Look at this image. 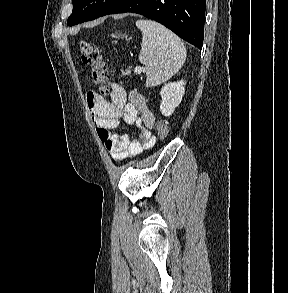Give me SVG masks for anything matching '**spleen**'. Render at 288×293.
<instances>
[{
  "instance_id": "spleen-1",
  "label": "spleen",
  "mask_w": 288,
  "mask_h": 293,
  "mask_svg": "<svg viewBox=\"0 0 288 293\" xmlns=\"http://www.w3.org/2000/svg\"><path fill=\"white\" fill-rule=\"evenodd\" d=\"M142 31L140 63L147 66L146 87L157 86L170 79L183 66L186 49L172 31L152 20H138Z\"/></svg>"
}]
</instances>
